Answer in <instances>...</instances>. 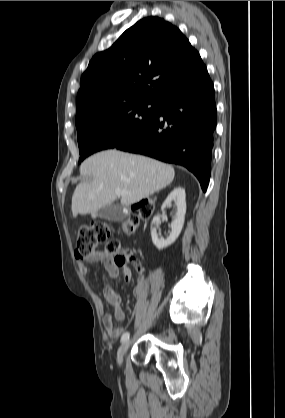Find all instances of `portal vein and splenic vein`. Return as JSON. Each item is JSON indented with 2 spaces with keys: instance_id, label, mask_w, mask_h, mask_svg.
<instances>
[{
  "instance_id": "portal-vein-and-splenic-vein-1",
  "label": "portal vein and splenic vein",
  "mask_w": 285,
  "mask_h": 418,
  "mask_svg": "<svg viewBox=\"0 0 285 418\" xmlns=\"http://www.w3.org/2000/svg\"><path fill=\"white\" fill-rule=\"evenodd\" d=\"M115 193H116L117 195H121V194H122V191H121L120 189H116V190H115Z\"/></svg>"
}]
</instances>
